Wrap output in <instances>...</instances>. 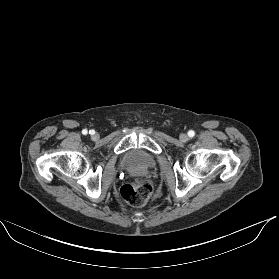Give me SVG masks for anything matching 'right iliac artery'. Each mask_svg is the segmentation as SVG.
Masks as SVG:
<instances>
[{"instance_id":"right-iliac-artery-1","label":"right iliac artery","mask_w":279,"mask_h":279,"mask_svg":"<svg viewBox=\"0 0 279 279\" xmlns=\"http://www.w3.org/2000/svg\"><path fill=\"white\" fill-rule=\"evenodd\" d=\"M82 133H83L84 135H86V134L88 133L87 129H84V130L82 131ZM89 133H90V134H94L95 131L91 130V131H89Z\"/></svg>"}]
</instances>
